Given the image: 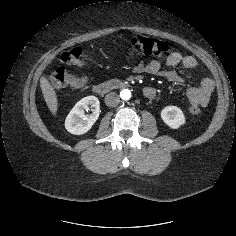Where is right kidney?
I'll list each match as a JSON object with an SVG mask.
<instances>
[{
  "mask_svg": "<svg viewBox=\"0 0 236 236\" xmlns=\"http://www.w3.org/2000/svg\"><path fill=\"white\" fill-rule=\"evenodd\" d=\"M91 107L92 113L86 115L84 112ZM100 114V102L95 96H87L81 99L72 108L65 120L66 130L74 135L88 132L96 122Z\"/></svg>",
  "mask_w": 236,
  "mask_h": 236,
  "instance_id": "right-kidney-1",
  "label": "right kidney"
}]
</instances>
